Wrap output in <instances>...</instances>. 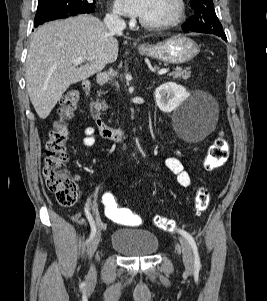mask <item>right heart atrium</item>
<instances>
[{
    "mask_svg": "<svg viewBox=\"0 0 267 301\" xmlns=\"http://www.w3.org/2000/svg\"><path fill=\"white\" fill-rule=\"evenodd\" d=\"M108 19L109 20H113V21H117L120 20V16L118 14V12L116 10H112L109 14H108Z\"/></svg>",
    "mask_w": 267,
    "mask_h": 301,
    "instance_id": "1",
    "label": "right heart atrium"
}]
</instances>
